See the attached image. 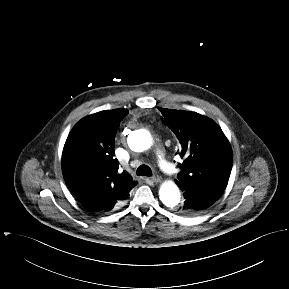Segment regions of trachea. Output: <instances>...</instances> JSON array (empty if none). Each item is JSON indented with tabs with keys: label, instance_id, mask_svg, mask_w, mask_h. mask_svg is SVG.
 <instances>
[{
	"label": "trachea",
	"instance_id": "1",
	"mask_svg": "<svg viewBox=\"0 0 289 289\" xmlns=\"http://www.w3.org/2000/svg\"><path fill=\"white\" fill-rule=\"evenodd\" d=\"M138 176H151L152 175V171L151 168L147 165H141L137 168L136 171Z\"/></svg>",
	"mask_w": 289,
	"mask_h": 289
}]
</instances>
